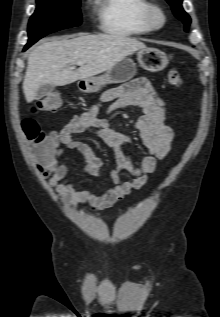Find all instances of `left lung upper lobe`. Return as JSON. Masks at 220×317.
<instances>
[{
  "label": "left lung upper lobe",
  "mask_w": 220,
  "mask_h": 317,
  "mask_svg": "<svg viewBox=\"0 0 220 317\" xmlns=\"http://www.w3.org/2000/svg\"><path fill=\"white\" fill-rule=\"evenodd\" d=\"M172 7L175 16L184 22L185 31H188V27L191 23L189 15L182 8V0H166Z\"/></svg>",
  "instance_id": "5c2ea615"
}]
</instances>
